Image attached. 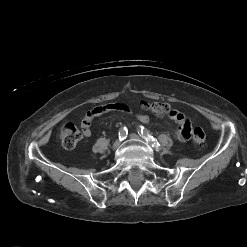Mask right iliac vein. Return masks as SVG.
<instances>
[{
  "label": "right iliac vein",
  "mask_w": 247,
  "mask_h": 247,
  "mask_svg": "<svg viewBox=\"0 0 247 247\" xmlns=\"http://www.w3.org/2000/svg\"><path fill=\"white\" fill-rule=\"evenodd\" d=\"M120 144H121V142H120L119 140H116V141L114 142L112 148L115 150V149H117V148L120 146Z\"/></svg>",
  "instance_id": "1"
}]
</instances>
